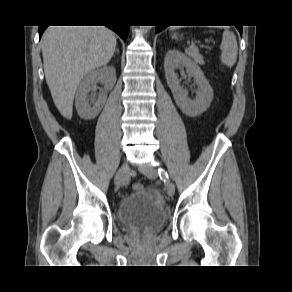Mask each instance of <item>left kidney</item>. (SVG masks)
I'll list each match as a JSON object with an SVG mask.
<instances>
[{
    "instance_id": "left-kidney-1",
    "label": "left kidney",
    "mask_w": 292,
    "mask_h": 292,
    "mask_svg": "<svg viewBox=\"0 0 292 292\" xmlns=\"http://www.w3.org/2000/svg\"><path fill=\"white\" fill-rule=\"evenodd\" d=\"M181 65L186 68L188 76H193L195 79L197 85L195 99H190L187 90L180 86L175 69ZM164 70L174 100L184 114L196 117L207 110L213 99V89L195 62L177 50H169L164 59Z\"/></svg>"
}]
</instances>
